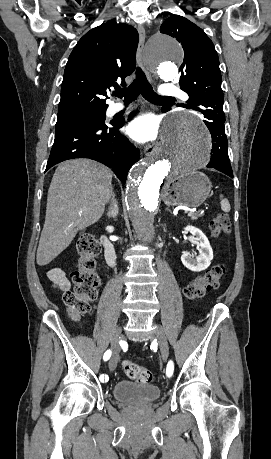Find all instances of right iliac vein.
<instances>
[{
    "mask_svg": "<svg viewBox=\"0 0 271 459\" xmlns=\"http://www.w3.org/2000/svg\"><path fill=\"white\" fill-rule=\"evenodd\" d=\"M121 336V327L117 326L115 329L114 336L111 340V346H112V355L109 360V368L111 370H114L117 366L118 359H119V346H118V338Z\"/></svg>",
    "mask_w": 271,
    "mask_h": 459,
    "instance_id": "63e3f726",
    "label": "right iliac vein"
}]
</instances>
